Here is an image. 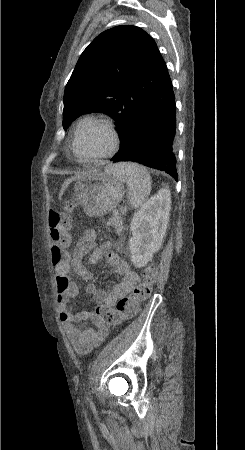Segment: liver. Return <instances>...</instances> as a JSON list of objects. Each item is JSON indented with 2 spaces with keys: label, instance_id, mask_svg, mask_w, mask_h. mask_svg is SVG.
<instances>
[{
  "label": "liver",
  "instance_id": "obj_1",
  "mask_svg": "<svg viewBox=\"0 0 245 450\" xmlns=\"http://www.w3.org/2000/svg\"><path fill=\"white\" fill-rule=\"evenodd\" d=\"M112 167H113V166H112ZM80 177H82V176L72 177V178L66 180V181L64 182V184L62 185V187H61V190H60V193H59V198H61V196H62L63 193L65 192V190H66V188L68 187V185H69L72 181H75L76 179H79Z\"/></svg>",
  "mask_w": 245,
  "mask_h": 450
}]
</instances>
